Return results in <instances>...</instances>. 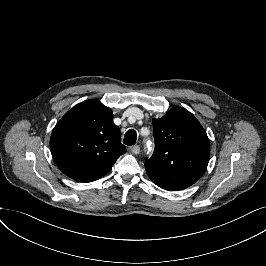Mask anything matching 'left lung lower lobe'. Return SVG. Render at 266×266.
<instances>
[{"label": "left lung lower lobe", "mask_w": 266, "mask_h": 266, "mask_svg": "<svg viewBox=\"0 0 266 266\" xmlns=\"http://www.w3.org/2000/svg\"><path fill=\"white\" fill-rule=\"evenodd\" d=\"M157 186H159L160 188H163L165 190H168V191H177V190H182L184 188H181V187H177V186H174V185H171L169 183H166V182H163V181H160L158 179H155V178H150Z\"/></svg>", "instance_id": "1"}]
</instances>
